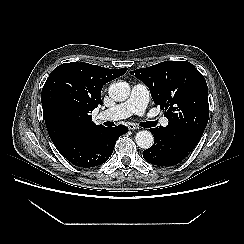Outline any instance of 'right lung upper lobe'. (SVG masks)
<instances>
[{
	"label": "right lung upper lobe",
	"mask_w": 244,
	"mask_h": 244,
	"mask_svg": "<svg viewBox=\"0 0 244 244\" xmlns=\"http://www.w3.org/2000/svg\"><path fill=\"white\" fill-rule=\"evenodd\" d=\"M126 71L127 68L108 69L71 62L59 65L50 73L42 89L41 102L45 124L56 147L72 136L104 127L92 121L91 113L102 102L103 85Z\"/></svg>",
	"instance_id": "cb5924a9"
}]
</instances>
